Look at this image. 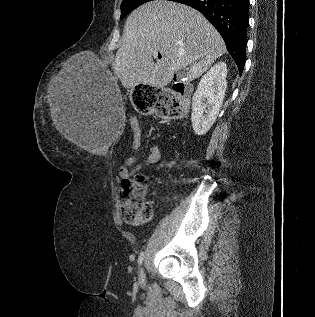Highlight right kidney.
I'll list each match as a JSON object with an SVG mask.
<instances>
[{"instance_id": "ca27d5eb", "label": "right kidney", "mask_w": 315, "mask_h": 317, "mask_svg": "<svg viewBox=\"0 0 315 317\" xmlns=\"http://www.w3.org/2000/svg\"><path fill=\"white\" fill-rule=\"evenodd\" d=\"M226 77L227 65L218 62L201 78L192 98L191 122L195 134L204 135L215 122L227 88Z\"/></svg>"}]
</instances>
